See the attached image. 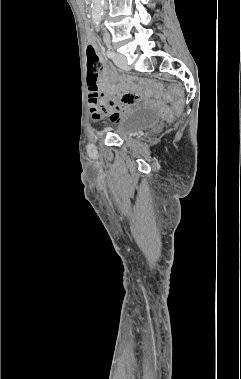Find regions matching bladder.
Segmentation results:
<instances>
[{
  "label": "bladder",
  "mask_w": 241,
  "mask_h": 379,
  "mask_svg": "<svg viewBox=\"0 0 241 379\" xmlns=\"http://www.w3.org/2000/svg\"><path fill=\"white\" fill-rule=\"evenodd\" d=\"M158 112L150 107L139 106L125 114L117 124V134L125 139L147 130L158 123Z\"/></svg>",
  "instance_id": "31cf9c89"
}]
</instances>
